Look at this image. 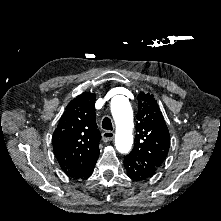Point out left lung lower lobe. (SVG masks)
<instances>
[{
	"instance_id": "0a47b994",
	"label": "left lung lower lobe",
	"mask_w": 221,
	"mask_h": 221,
	"mask_svg": "<svg viewBox=\"0 0 221 221\" xmlns=\"http://www.w3.org/2000/svg\"><path fill=\"white\" fill-rule=\"evenodd\" d=\"M124 167L128 177L135 181H145L154 175L151 170L142 167L128 155L124 157Z\"/></svg>"
}]
</instances>
